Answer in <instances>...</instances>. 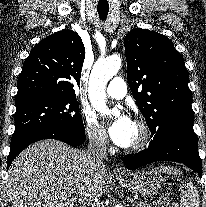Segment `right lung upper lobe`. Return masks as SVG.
<instances>
[{
    "instance_id": "1",
    "label": "right lung upper lobe",
    "mask_w": 206,
    "mask_h": 207,
    "mask_svg": "<svg viewBox=\"0 0 206 207\" xmlns=\"http://www.w3.org/2000/svg\"><path fill=\"white\" fill-rule=\"evenodd\" d=\"M85 48L72 30L58 31L41 40L23 63L16 100L33 95L76 97Z\"/></svg>"
}]
</instances>
